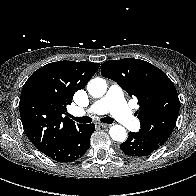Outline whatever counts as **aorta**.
I'll return each instance as SVG.
<instances>
[{
	"instance_id": "762f6f07",
	"label": "aorta",
	"mask_w": 196,
	"mask_h": 196,
	"mask_svg": "<svg viewBox=\"0 0 196 196\" xmlns=\"http://www.w3.org/2000/svg\"><path fill=\"white\" fill-rule=\"evenodd\" d=\"M88 93L95 97H102L107 90L106 81L102 78L91 79L87 84ZM110 137L117 142H124L127 138V132L123 126L113 125L109 130Z\"/></svg>"
}]
</instances>
